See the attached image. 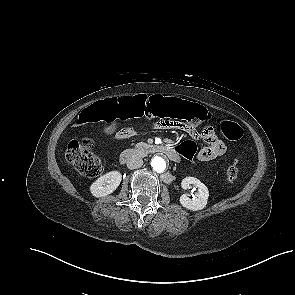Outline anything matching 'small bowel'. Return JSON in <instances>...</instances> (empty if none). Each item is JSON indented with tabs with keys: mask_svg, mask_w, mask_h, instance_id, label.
<instances>
[{
	"mask_svg": "<svg viewBox=\"0 0 295 295\" xmlns=\"http://www.w3.org/2000/svg\"><path fill=\"white\" fill-rule=\"evenodd\" d=\"M154 126L162 129L178 130L186 136L195 139H202L205 146L196 154L199 161L208 162L222 156L226 151L225 144L216 137L213 128L207 127L201 133L193 126L185 124L182 121H173L168 118H156L153 121ZM104 133L113 136L116 140H127L135 135V129L132 127L119 128L117 125H108L104 127Z\"/></svg>",
	"mask_w": 295,
	"mask_h": 295,
	"instance_id": "obj_1",
	"label": "small bowel"
}]
</instances>
